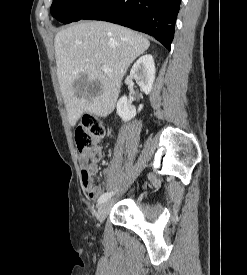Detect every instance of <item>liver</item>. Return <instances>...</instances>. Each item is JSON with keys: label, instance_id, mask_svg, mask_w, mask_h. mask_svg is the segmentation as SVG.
<instances>
[{"label": "liver", "instance_id": "6515ba94", "mask_svg": "<svg viewBox=\"0 0 247 275\" xmlns=\"http://www.w3.org/2000/svg\"><path fill=\"white\" fill-rule=\"evenodd\" d=\"M55 57L60 90L71 126L84 112L106 117L113 112L127 69L150 46L147 38L126 27L104 21L73 24L55 35ZM111 72H104L102 66ZM93 85L79 92L75 82Z\"/></svg>", "mask_w": 247, "mask_h": 275}]
</instances>
